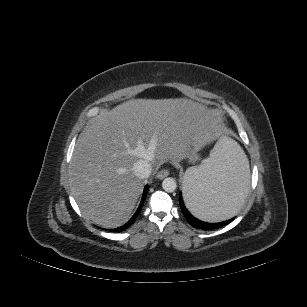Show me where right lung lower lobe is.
Wrapping results in <instances>:
<instances>
[{
	"instance_id": "98d812e1",
	"label": "right lung lower lobe",
	"mask_w": 307,
	"mask_h": 307,
	"mask_svg": "<svg viewBox=\"0 0 307 307\" xmlns=\"http://www.w3.org/2000/svg\"><path fill=\"white\" fill-rule=\"evenodd\" d=\"M148 189H149V186L146 185L145 188H144V192H143V196H142V199H141V203H140L137 211L135 212V214L132 216V218L126 224H124L123 226H121L119 228H116V229H111L109 231H112V232L124 231L125 229H127L128 227H130L132 225V223L134 222V220L136 219V217L138 216V214L140 213V211L142 209V206H143V204L145 202V199H146V195H147Z\"/></svg>"
}]
</instances>
